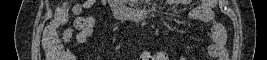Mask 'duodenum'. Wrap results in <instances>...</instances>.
I'll list each match as a JSON object with an SVG mask.
<instances>
[{
    "instance_id": "410a0bca",
    "label": "duodenum",
    "mask_w": 267,
    "mask_h": 60,
    "mask_svg": "<svg viewBox=\"0 0 267 60\" xmlns=\"http://www.w3.org/2000/svg\"><path fill=\"white\" fill-rule=\"evenodd\" d=\"M113 14L117 19H129L132 21H138L147 18L151 11L147 9L131 8L122 3L120 0L110 1Z\"/></svg>"
}]
</instances>
